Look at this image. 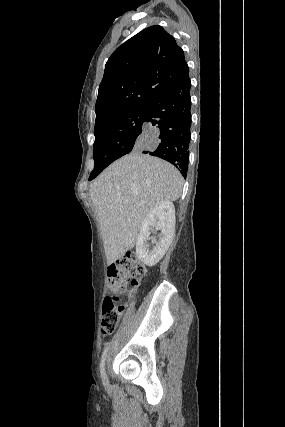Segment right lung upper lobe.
Returning <instances> with one entry per match:
<instances>
[{
  "instance_id": "obj_1",
  "label": "right lung upper lobe",
  "mask_w": 285,
  "mask_h": 427,
  "mask_svg": "<svg viewBox=\"0 0 285 427\" xmlns=\"http://www.w3.org/2000/svg\"><path fill=\"white\" fill-rule=\"evenodd\" d=\"M188 76L183 50L161 26L148 27L119 46L105 65L96 101L95 127L147 105Z\"/></svg>"
}]
</instances>
